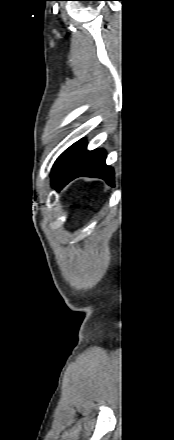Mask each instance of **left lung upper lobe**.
Segmentation results:
<instances>
[{
  "label": "left lung upper lobe",
  "instance_id": "left-lung-upper-lobe-1",
  "mask_svg": "<svg viewBox=\"0 0 174 440\" xmlns=\"http://www.w3.org/2000/svg\"><path fill=\"white\" fill-rule=\"evenodd\" d=\"M76 144V143H75ZM75 144H73L71 147H69L66 151H64L56 160V162L54 163L53 169H52V173H51V178H52V183L54 184V182L56 181V179L58 178V176L62 173L63 169L65 168V166L68 163V160L70 158V155L75 147Z\"/></svg>",
  "mask_w": 174,
  "mask_h": 440
}]
</instances>
